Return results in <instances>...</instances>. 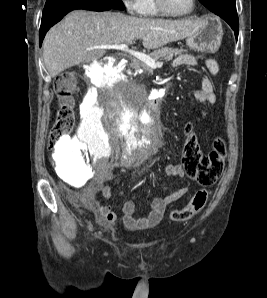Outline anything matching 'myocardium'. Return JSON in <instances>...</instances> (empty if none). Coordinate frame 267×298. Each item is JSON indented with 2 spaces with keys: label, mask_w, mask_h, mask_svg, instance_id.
I'll use <instances>...</instances> for the list:
<instances>
[{
  "label": "myocardium",
  "mask_w": 267,
  "mask_h": 298,
  "mask_svg": "<svg viewBox=\"0 0 267 298\" xmlns=\"http://www.w3.org/2000/svg\"><path fill=\"white\" fill-rule=\"evenodd\" d=\"M154 1H155L156 8L161 14L169 17H175V18H181V17H186L190 15L194 11L195 4H196V0H191V6L188 11L184 13H174L167 7L165 0H154Z\"/></svg>",
  "instance_id": "myocardium-1"
}]
</instances>
